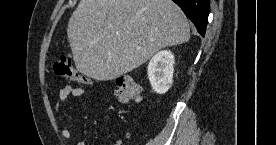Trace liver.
Instances as JSON below:
<instances>
[{
    "label": "liver",
    "instance_id": "6515ba94",
    "mask_svg": "<svg viewBox=\"0 0 276 145\" xmlns=\"http://www.w3.org/2000/svg\"><path fill=\"white\" fill-rule=\"evenodd\" d=\"M67 35L78 71L108 81L186 43L190 26L172 0H80Z\"/></svg>",
    "mask_w": 276,
    "mask_h": 145
}]
</instances>
